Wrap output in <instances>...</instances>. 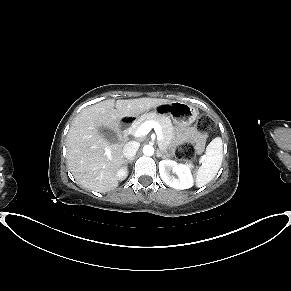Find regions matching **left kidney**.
Listing matches in <instances>:
<instances>
[{"label": "left kidney", "mask_w": 291, "mask_h": 291, "mask_svg": "<svg viewBox=\"0 0 291 291\" xmlns=\"http://www.w3.org/2000/svg\"><path fill=\"white\" fill-rule=\"evenodd\" d=\"M159 173L163 182L172 188L183 190L193 186L194 181L189 165L178 164L172 160H162L159 162Z\"/></svg>", "instance_id": "left-kidney-1"}]
</instances>
